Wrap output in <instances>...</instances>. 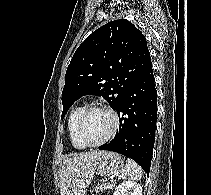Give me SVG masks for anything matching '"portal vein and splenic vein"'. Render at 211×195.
Segmentation results:
<instances>
[{
    "instance_id": "portal-vein-and-splenic-vein-1",
    "label": "portal vein and splenic vein",
    "mask_w": 211,
    "mask_h": 195,
    "mask_svg": "<svg viewBox=\"0 0 211 195\" xmlns=\"http://www.w3.org/2000/svg\"><path fill=\"white\" fill-rule=\"evenodd\" d=\"M109 188H112L113 187V185L112 184H109V186H108Z\"/></svg>"
}]
</instances>
